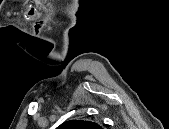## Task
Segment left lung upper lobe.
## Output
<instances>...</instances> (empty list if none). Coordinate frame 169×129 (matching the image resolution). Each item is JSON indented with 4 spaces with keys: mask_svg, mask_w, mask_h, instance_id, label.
<instances>
[{
    "mask_svg": "<svg viewBox=\"0 0 169 129\" xmlns=\"http://www.w3.org/2000/svg\"><path fill=\"white\" fill-rule=\"evenodd\" d=\"M60 129H101V127L88 120H70L59 126Z\"/></svg>",
    "mask_w": 169,
    "mask_h": 129,
    "instance_id": "obj_1",
    "label": "left lung upper lobe"
}]
</instances>
